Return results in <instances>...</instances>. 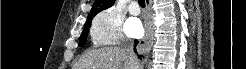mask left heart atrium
<instances>
[{"label":"left heart atrium","instance_id":"left-heart-atrium-1","mask_svg":"<svg viewBox=\"0 0 246 69\" xmlns=\"http://www.w3.org/2000/svg\"><path fill=\"white\" fill-rule=\"evenodd\" d=\"M125 30L129 36L137 37L143 33V26L137 18H129L126 21Z\"/></svg>","mask_w":246,"mask_h":69}]
</instances>
